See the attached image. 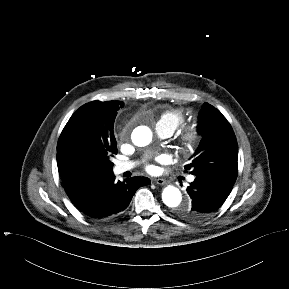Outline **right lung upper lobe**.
<instances>
[{
    "mask_svg": "<svg viewBox=\"0 0 289 289\" xmlns=\"http://www.w3.org/2000/svg\"><path fill=\"white\" fill-rule=\"evenodd\" d=\"M57 165L64 189L73 203H78L82 199L85 190L94 181L114 176L112 170L88 173L74 168L66 163L58 150Z\"/></svg>",
    "mask_w": 289,
    "mask_h": 289,
    "instance_id": "cb5924a9",
    "label": "right lung upper lobe"
}]
</instances>
